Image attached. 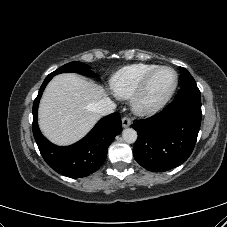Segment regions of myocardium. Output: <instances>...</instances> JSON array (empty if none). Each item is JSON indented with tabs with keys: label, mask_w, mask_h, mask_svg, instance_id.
Listing matches in <instances>:
<instances>
[{
	"label": "myocardium",
	"mask_w": 227,
	"mask_h": 227,
	"mask_svg": "<svg viewBox=\"0 0 227 227\" xmlns=\"http://www.w3.org/2000/svg\"><path fill=\"white\" fill-rule=\"evenodd\" d=\"M163 69H169L173 71L175 74V82L172 88L159 100L153 103L146 102L145 96L153 78L156 76V74L159 71ZM178 83H179V75L173 67L167 66V65H160L156 67L145 76V78L142 80V82L140 83V85L132 95L131 97L132 109L134 110V112H136L141 116H151L160 112L173 97L177 89Z\"/></svg>",
	"instance_id": "f54148a6"
}]
</instances>
